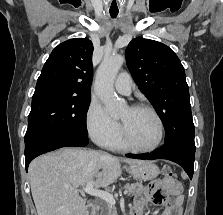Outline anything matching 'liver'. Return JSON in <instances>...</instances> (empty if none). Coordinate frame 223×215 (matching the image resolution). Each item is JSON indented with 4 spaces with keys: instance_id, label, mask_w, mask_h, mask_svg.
<instances>
[{
    "instance_id": "liver-1",
    "label": "liver",
    "mask_w": 223,
    "mask_h": 215,
    "mask_svg": "<svg viewBox=\"0 0 223 215\" xmlns=\"http://www.w3.org/2000/svg\"><path fill=\"white\" fill-rule=\"evenodd\" d=\"M137 165L143 159H123ZM101 169V171H100ZM31 191L38 215H83L86 199L77 187L94 179L95 187H106L121 175L118 157L93 149L63 147L46 153L29 165Z\"/></svg>"
}]
</instances>
